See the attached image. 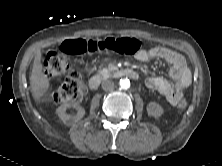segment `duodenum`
I'll return each mask as SVG.
<instances>
[{
  "instance_id": "410a0bca",
  "label": "duodenum",
  "mask_w": 222,
  "mask_h": 166,
  "mask_svg": "<svg viewBox=\"0 0 222 166\" xmlns=\"http://www.w3.org/2000/svg\"><path fill=\"white\" fill-rule=\"evenodd\" d=\"M118 74L122 76L130 77L132 79L138 78V74L134 70L128 69V68L119 70ZM100 83H101V76L93 75L88 81V87L91 90H96L99 87Z\"/></svg>"
}]
</instances>
